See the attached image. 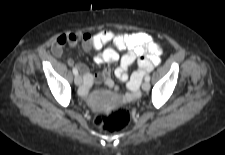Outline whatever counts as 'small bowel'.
<instances>
[{
	"instance_id": "1",
	"label": "small bowel",
	"mask_w": 225,
	"mask_h": 155,
	"mask_svg": "<svg viewBox=\"0 0 225 155\" xmlns=\"http://www.w3.org/2000/svg\"><path fill=\"white\" fill-rule=\"evenodd\" d=\"M79 41L82 42L85 50L93 48L98 51L93 56V61L96 64L114 63L120 60V66L116 69L115 75L119 80L127 83L128 89L123 94L118 92L110 79L109 69L106 68L95 76L89 72L86 65L78 63L76 66L83 75V86L80 94L84 97L89 95L95 81H102L120 101L129 102L136 99L139 96L142 76L160 62L162 52L161 46L147 33H114L111 30H102L94 35L84 32L63 34L53 43L52 53L60 57L64 46H74ZM110 42H113L117 49L126 50V53L120 57L115 49L111 47L104 48ZM135 61L138 64V70L129 76L128 69ZM69 63L73 64V61L69 60ZM111 101L112 97L108 96L102 99L101 102L107 104Z\"/></svg>"
}]
</instances>
